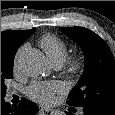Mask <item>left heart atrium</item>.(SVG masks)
<instances>
[{"mask_svg": "<svg viewBox=\"0 0 115 115\" xmlns=\"http://www.w3.org/2000/svg\"><path fill=\"white\" fill-rule=\"evenodd\" d=\"M65 89L61 81H34L26 89V94L32 100L41 104H51L55 94L63 92Z\"/></svg>", "mask_w": 115, "mask_h": 115, "instance_id": "left-heart-atrium-1", "label": "left heart atrium"}]
</instances>
